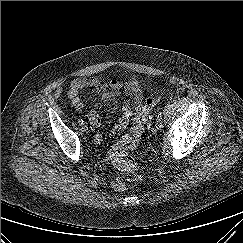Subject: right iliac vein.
<instances>
[{"label": "right iliac vein", "mask_w": 243, "mask_h": 243, "mask_svg": "<svg viewBox=\"0 0 243 243\" xmlns=\"http://www.w3.org/2000/svg\"><path fill=\"white\" fill-rule=\"evenodd\" d=\"M88 130L87 124L83 123L80 125V131L81 132H86Z\"/></svg>", "instance_id": "1"}]
</instances>
